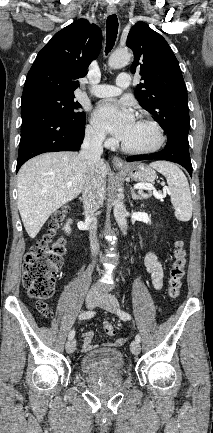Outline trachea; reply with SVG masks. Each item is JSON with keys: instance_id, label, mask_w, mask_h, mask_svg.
Returning <instances> with one entry per match:
<instances>
[{"instance_id": "1", "label": "trachea", "mask_w": 213, "mask_h": 433, "mask_svg": "<svg viewBox=\"0 0 213 433\" xmlns=\"http://www.w3.org/2000/svg\"><path fill=\"white\" fill-rule=\"evenodd\" d=\"M118 33V19L116 14H112L108 16L106 21V37H107V43H106V54L111 51L113 48Z\"/></svg>"}]
</instances>
